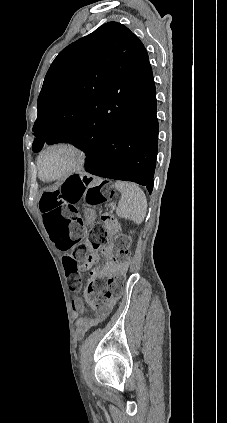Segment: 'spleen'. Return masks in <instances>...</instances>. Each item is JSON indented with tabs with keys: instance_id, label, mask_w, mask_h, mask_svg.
<instances>
[{
	"instance_id": "obj_1",
	"label": "spleen",
	"mask_w": 227,
	"mask_h": 423,
	"mask_svg": "<svg viewBox=\"0 0 227 423\" xmlns=\"http://www.w3.org/2000/svg\"><path fill=\"white\" fill-rule=\"evenodd\" d=\"M115 188L121 192V200L116 210L117 215L125 217V219H132L135 223H141L147 211L144 192L132 182H116Z\"/></svg>"
}]
</instances>
